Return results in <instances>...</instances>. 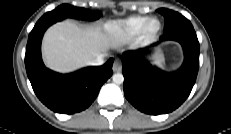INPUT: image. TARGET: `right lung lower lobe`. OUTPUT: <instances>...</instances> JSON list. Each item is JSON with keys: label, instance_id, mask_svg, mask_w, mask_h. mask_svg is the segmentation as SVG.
<instances>
[{"label": "right lung lower lobe", "instance_id": "1", "mask_svg": "<svg viewBox=\"0 0 231 134\" xmlns=\"http://www.w3.org/2000/svg\"><path fill=\"white\" fill-rule=\"evenodd\" d=\"M57 22L38 21L29 34L25 66L32 88L43 104L54 112H80L95 100L102 84L112 75L113 59L98 67H87L70 74L47 69L41 57V40L45 30Z\"/></svg>", "mask_w": 231, "mask_h": 134}]
</instances>
